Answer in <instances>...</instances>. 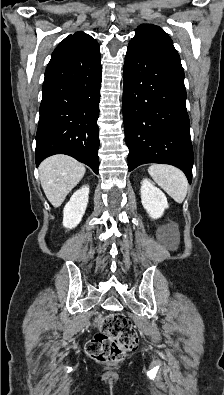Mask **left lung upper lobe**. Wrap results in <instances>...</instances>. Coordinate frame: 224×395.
I'll return each mask as SVG.
<instances>
[{"mask_svg":"<svg viewBox=\"0 0 224 395\" xmlns=\"http://www.w3.org/2000/svg\"><path fill=\"white\" fill-rule=\"evenodd\" d=\"M129 44L139 46L151 51L158 52L168 57L180 60L169 35L159 26L142 24L137 30L135 37Z\"/></svg>","mask_w":224,"mask_h":395,"instance_id":"obj_1","label":"left lung upper lobe"}]
</instances>
